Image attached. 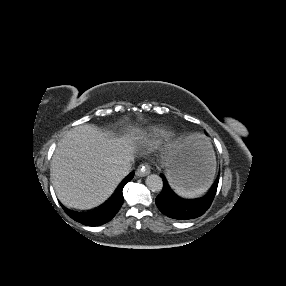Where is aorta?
<instances>
[{
	"label": "aorta",
	"instance_id": "1",
	"mask_svg": "<svg viewBox=\"0 0 286 286\" xmlns=\"http://www.w3.org/2000/svg\"><path fill=\"white\" fill-rule=\"evenodd\" d=\"M145 182L148 189L152 192H160L163 188L162 178L157 174L148 175Z\"/></svg>",
	"mask_w": 286,
	"mask_h": 286
}]
</instances>
